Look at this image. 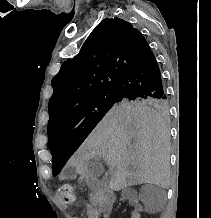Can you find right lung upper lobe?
Masks as SVG:
<instances>
[{"label": "right lung upper lobe", "mask_w": 211, "mask_h": 218, "mask_svg": "<svg viewBox=\"0 0 211 218\" xmlns=\"http://www.w3.org/2000/svg\"><path fill=\"white\" fill-rule=\"evenodd\" d=\"M151 52L143 35L129 22L104 19L80 52L66 60L52 79L48 127L83 102L113 91L123 76Z\"/></svg>", "instance_id": "cb5924a9"}]
</instances>
